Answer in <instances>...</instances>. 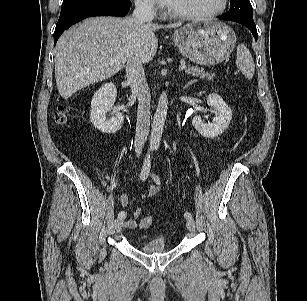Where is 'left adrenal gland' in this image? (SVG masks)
Here are the masks:
<instances>
[{
	"label": "left adrenal gland",
	"mask_w": 307,
	"mask_h": 301,
	"mask_svg": "<svg viewBox=\"0 0 307 301\" xmlns=\"http://www.w3.org/2000/svg\"><path fill=\"white\" fill-rule=\"evenodd\" d=\"M194 82H195V80L188 82V83L186 84V86H185V87L190 86V85H191L192 83H194Z\"/></svg>",
	"instance_id": "1"
}]
</instances>
